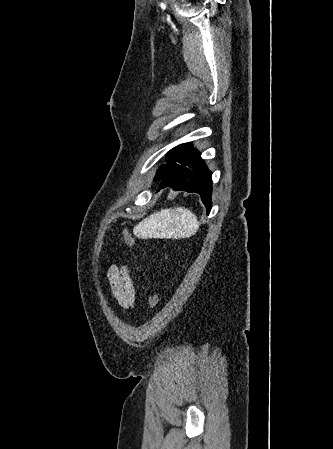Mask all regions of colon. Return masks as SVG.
<instances>
[{"label":"colon","instance_id":"5ec220e1","mask_svg":"<svg viewBox=\"0 0 333 449\" xmlns=\"http://www.w3.org/2000/svg\"><path fill=\"white\" fill-rule=\"evenodd\" d=\"M122 237L124 242L131 248H134L136 246V240L134 238V236L128 231V230H123L122 231ZM148 303H149V307L151 309L156 308L159 305V297L156 293H152L149 295L148 298Z\"/></svg>","mask_w":333,"mask_h":449}]
</instances>
